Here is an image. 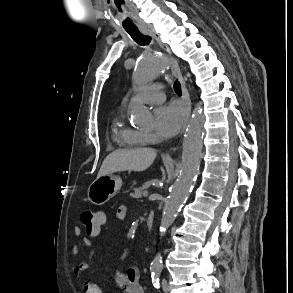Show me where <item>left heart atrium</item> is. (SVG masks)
<instances>
[{
	"mask_svg": "<svg viewBox=\"0 0 293 293\" xmlns=\"http://www.w3.org/2000/svg\"><path fill=\"white\" fill-rule=\"evenodd\" d=\"M185 117V108L179 102H170L157 108L155 128L160 136L172 137L179 131Z\"/></svg>",
	"mask_w": 293,
	"mask_h": 293,
	"instance_id": "left-heart-atrium-1",
	"label": "left heart atrium"
}]
</instances>
